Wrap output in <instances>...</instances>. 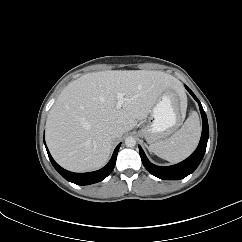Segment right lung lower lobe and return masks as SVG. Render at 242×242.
<instances>
[{
  "instance_id": "1",
  "label": "right lung lower lobe",
  "mask_w": 242,
  "mask_h": 242,
  "mask_svg": "<svg viewBox=\"0 0 242 242\" xmlns=\"http://www.w3.org/2000/svg\"><path fill=\"white\" fill-rule=\"evenodd\" d=\"M45 143V141H44ZM121 144H119L115 150L114 153L112 155L111 160L109 161V163L103 167L100 170L94 171V172H88V173H73V172H69L65 169H63L62 167H60L52 158V156L50 155L47 146H46V150L49 156V159L52 163V165L54 166V168L68 181L75 183L77 185H89V184H93V183H97L102 181L103 179H105L113 170L115 163H116V158H117V153L119 150Z\"/></svg>"
}]
</instances>
